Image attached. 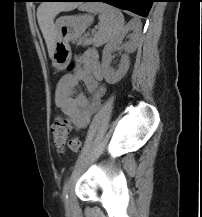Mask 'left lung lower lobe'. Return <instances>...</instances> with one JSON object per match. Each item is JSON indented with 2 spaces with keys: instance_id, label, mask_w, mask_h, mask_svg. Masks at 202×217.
I'll list each match as a JSON object with an SVG mask.
<instances>
[{
  "instance_id": "obj_1",
  "label": "left lung lower lobe",
  "mask_w": 202,
  "mask_h": 217,
  "mask_svg": "<svg viewBox=\"0 0 202 217\" xmlns=\"http://www.w3.org/2000/svg\"><path fill=\"white\" fill-rule=\"evenodd\" d=\"M41 1H71V2H104L120 9L129 10L135 14L147 17L155 0H41Z\"/></svg>"
}]
</instances>
